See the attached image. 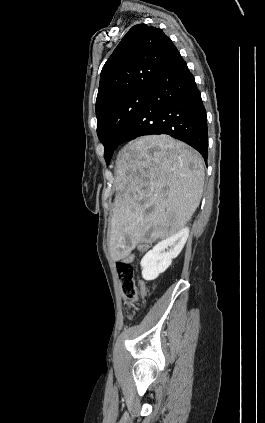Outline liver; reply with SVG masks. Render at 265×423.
I'll return each mask as SVG.
<instances>
[{
	"label": "liver",
	"mask_w": 265,
	"mask_h": 423,
	"mask_svg": "<svg viewBox=\"0 0 265 423\" xmlns=\"http://www.w3.org/2000/svg\"><path fill=\"white\" fill-rule=\"evenodd\" d=\"M204 176L201 155L168 135L143 136L125 145L116 160L118 195L108 242L112 260L128 257L139 243L183 229L200 204Z\"/></svg>",
	"instance_id": "obj_1"
}]
</instances>
